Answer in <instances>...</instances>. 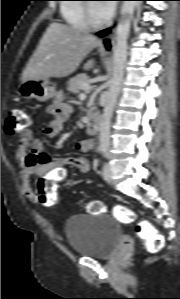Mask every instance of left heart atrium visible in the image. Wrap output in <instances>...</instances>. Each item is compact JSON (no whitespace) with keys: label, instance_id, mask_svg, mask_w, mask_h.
I'll return each instance as SVG.
<instances>
[{"label":"left heart atrium","instance_id":"39dd6f15","mask_svg":"<svg viewBox=\"0 0 180 299\" xmlns=\"http://www.w3.org/2000/svg\"><path fill=\"white\" fill-rule=\"evenodd\" d=\"M112 2H114V1H106V3H103L101 5L102 9L108 16H111V14L115 10V3H112Z\"/></svg>","mask_w":180,"mask_h":299}]
</instances>
